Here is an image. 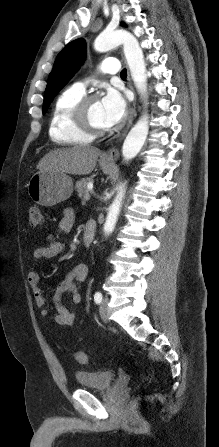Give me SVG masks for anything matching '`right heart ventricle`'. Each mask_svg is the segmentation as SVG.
I'll use <instances>...</instances> for the list:
<instances>
[{
    "instance_id": "1",
    "label": "right heart ventricle",
    "mask_w": 219,
    "mask_h": 447,
    "mask_svg": "<svg viewBox=\"0 0 219 447\" xmlns=\"http://www.w3.org/2000/svg\"><path fill=\"white\" fill-rule=\"evenodd\" d=\"M83 93L70 87L63 91L52 107L49 136L53 142L61 145L87 144L92 137L79 131L72 120V111Z\"/></svg>"
}]
</instances>
